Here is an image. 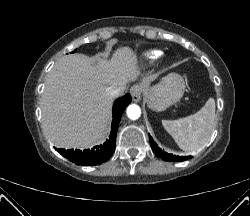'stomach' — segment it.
<instances>
[{"mask_svg": "<svg viewBox=\"0 0 250 216\" xmlns=\"http://www.w3.org/2000/svg\"><path fill=\"white\" fill-rule=\"evenodd\" d=\"M185 91V82L177 73H170L160 83L144 86V96L147 105L154 111H163L178 102Z\"/></svg>", "mask_w": 250, "mask_h": 216, "instance_id": "1", "label": "stomach"}]
</instances>
